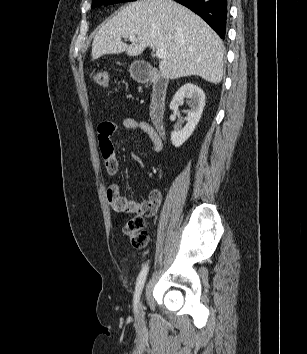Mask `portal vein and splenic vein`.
<instances>
[{"instance_id":"portal-vein-and-splenic-vein-1","label":"portal vein and splenic vein","mask_w":307,"mask_h":354,"mask_svg":"<svg viewBox=\"0 0 307 354\" xmlns=\"http://www.w3.org/2000/svg\"><path fill=\"white\" fill-rule=\"evenodd\" d=\"M129 40H130L131 42H135V41H136V38L133 37V36H130V37H129ZM166 55H167V51H166L165 48H160V49H157V50H156V57H157L158 59H163V58L166 57Z\"/></svg>"}]
</instances>
